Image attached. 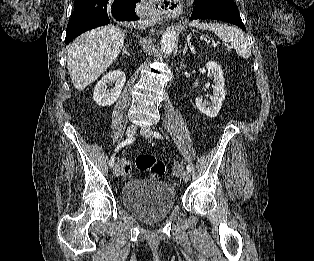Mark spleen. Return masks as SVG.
Here are the masks:
<instances>
[{"label": "spleen", "mask_w": 314, "mask_h": 261, "mask_svg": "<svg viewBox=\"0 0 314 261\" xmlns=\"http://www.w3.org/2000/svg\"><path fill=\"white\" fill-rule=\"evenodd\" d=\"M191 26L197 29L215 32L219 39L230 43L241 58L247 59L251 56V48L241 30L227 24L200 23L198 20L193 21Z\"/></svg>", "instance_id": "obj_1"}]
</instances>
